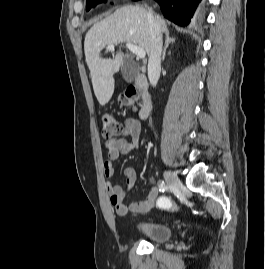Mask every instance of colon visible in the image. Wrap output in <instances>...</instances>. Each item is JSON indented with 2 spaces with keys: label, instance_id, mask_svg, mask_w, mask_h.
I'll return each instance as SVG.
<instances>
[{
  "label": "colon",
  "instance_id": "obj_1",
  "mask_svg": "<svg viewBox=\"0 0 265 269\" xmlns=\"http://www.w3.org/2000/svg\"><path fill=\"white\" fill-rule=\"evenodd\" d=\"M138 89L134 86H130L126 92L119 97V104L122 107H134L138 99ZM123 131L120 122L113 114L105 113L102 116V136L105 140H112L118 137ZM158 206L162 209L172 210L175 208V204L167 197H161L158 201Z\"/></svg>",
  "mask_w": 265,
  "mask_h": 269
}]
</instances>
